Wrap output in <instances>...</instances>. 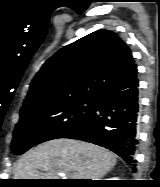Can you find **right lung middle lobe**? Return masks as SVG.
<instances>
[{
  "mask_svg": "<svg viewBox=\"0 0 160 187\" xmlns=\"http://www.w3.org/2000/svg\"><path fill=\"white\" fill-rule=\"evenodd\" d=\"M96 98H79L20 113L12 141L14 154L39 143L64 138L79 128L94 112Z\"/></svg>",
  "mask_w": 160,
  "mask_h": 187,
  "instance_id": "dd1d6c3e",
  "label": "right lung middle lobe"
}]
</instances>
